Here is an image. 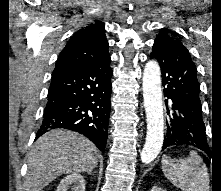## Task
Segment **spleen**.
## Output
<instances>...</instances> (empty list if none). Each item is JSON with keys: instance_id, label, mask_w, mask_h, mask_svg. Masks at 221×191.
Returning a JSON list of instances; mask_svg holds the SVG:
<instances>
[{"instance_id": "1", "label": "spleen", "mask_w": 221, "mask_h": 191, "mask_svg": "<svg viewBox=\"0 0 221 191\" xmlns=\"http://www.w3.org/2000/svg\"><path fill=\"white\" fill-rule=\"evenodd\" d=\"M161 164L165 177L182 191L210 190L208 169L196 152L179 159L164 155Z\"/></svg>"}]
</instances>
